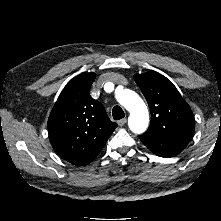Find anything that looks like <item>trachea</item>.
<instances>
[{"label":"trachea","mask_w":221,"mask_h":221,"mask_svg":"<svg viewBox=\"0 0 221 221\" xmlns=\"http://www.w3.org/2000/svg\"><path fill=\"white\" fill-rule=\"evenodd\" d=\"M112 115L115 120H120L125 116L124 111L120 106L113 107Z\"/></svg>","instance_id":"3493384b"}]
</instances>
